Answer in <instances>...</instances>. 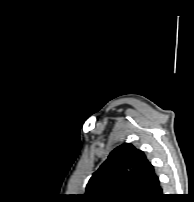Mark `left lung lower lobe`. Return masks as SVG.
<instances>
[{
  "label": "left lung lower lobe",
  "instance_id": "obj_1",
  "mask_svg": "<svg viewBox=\"0 0 194 202\" xmlns=\"http://www.w3.org/2000/svg\"><path fill=\"white\" fill-rule=\"evenodd\" d=\"M163 197L162 189L160 188L152 202H158Z\"/></svg>",
  "mask_w": 194,
  "mask_h": 202
}]
</instances>
